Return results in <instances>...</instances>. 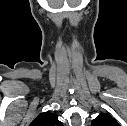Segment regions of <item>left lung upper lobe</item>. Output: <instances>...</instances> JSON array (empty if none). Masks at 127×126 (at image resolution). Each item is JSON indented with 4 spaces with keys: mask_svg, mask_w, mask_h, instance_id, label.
Listing matches in <instances>:
<instances>
[{
    "mask_svg": "<svg viewBox=\"0 0 127 126\" xmlns=\"http://www.w3.org/2000/svg\"><path fill=\"white\" fill-rule=\"evenodd\" d=\"M91 126H120L118 122L107 113H100L92 120Z\"/></svg>",
    "mask_w": 127,
    "mask_h": 126,
    "instance_id": "1",
    "label": "left lung upper lobe"
}]
</instances>
